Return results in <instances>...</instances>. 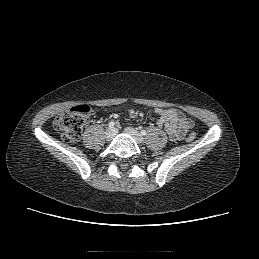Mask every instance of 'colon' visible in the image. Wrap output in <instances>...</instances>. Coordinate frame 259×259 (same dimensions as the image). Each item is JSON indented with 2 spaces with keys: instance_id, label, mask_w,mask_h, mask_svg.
<instances>
[{
  "instance_id": "1",
  "label": "colon",
  "mask_w": 259,
  "mask_h": 259,
  "mask_svg": "<svg viewBox=\"0 0 259 259\" xmlns=\"http://www.w3.org/2000/svg\"><path fill=\"white\" fill-rule=\"evenodd\" d=\"M90 115L91 109L88 105H78L58 114L53 125L63 140L74 143L80 139L83 126L88 122ZM195 138V133L191 132L186 140L192 142Z\"/></svg>"
}]
</instances>
